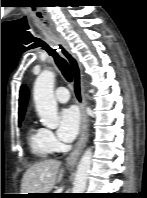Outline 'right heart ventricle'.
<instances>
[{"mask_svg":"<svg viewBox=\"0 0 147 198\" xmlns=\"http://www.w3.org/2000/svg\"><path fill=\"white\" fill-rule=\"evenodd\" d=\"M31 152L38 158H46L52 152L45 139L44 128L30 126L27 133Z\"/></svg>","mask_w":147,"mask_h":198,"instance_id":"obj_1","label":"right heart ventricle"}]
</instances>
